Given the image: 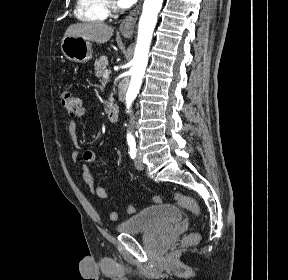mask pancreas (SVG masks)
Returning a JSON list of instances; mask_svg holds the SVG:
<instances>
[{
  "label": "pancreas",
  "instance_id": "cf45deb5",
  "mask_svg": "<svg viewBox=\"0 0 288 280\" xmlns=\"http://www.w3.org/2000/svg\"><path fill=\"white\" fill-rule=\"evenodd\" d=\"M108 60L106 56H101L98 60L95 61L94 71L95 75L98 78H101L104 72L107 70ZM113 103V95L111 94L109 98V104Z\"/></svg>",
  "mask_w": 288,
  "mask_h": 280
}]
</instances>
